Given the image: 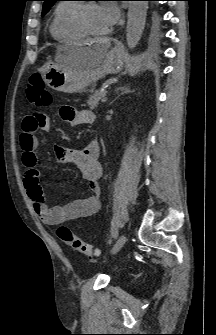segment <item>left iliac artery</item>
<instances>
[{
	"label": "left iliac artery",
	"instance_id": "obj_1",
	"mask_svg": "<svg viewBox=\"0 0 216 335\" xmlns=\"http://www.w3.org/2000/svg\"><path fill=\"white\" fill-rule=\"evenodd\" d=\"M118 235H119V228H118V226H116V225L112 226V228H111V236H112V238L113 239H117Z\"/></svg>",
	"mask_w": 216,
	"mask_h": 335
}]
</instances>
